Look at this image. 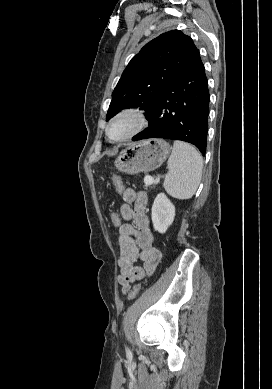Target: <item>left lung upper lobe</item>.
Instances as JSON below:
<instances>
[{
	"label": "left lung upper lobe",
	"instance_id": "obj_1",
	"mask_svg": "<svg viewBox=\"0 0 272 389\" xmlns=\"http://www.w3.org/2000/svg\"><path fill=\"white\" fill-rule=\"evenodd\" d=\"M199 50L179 30L147 43L124 70L112 93L106 121L125 108L140 107L149 116L164 88L190 63Z\"/></svg>",
	"mask_w": 272,
	"mask_h": 389
}]
</instances>
